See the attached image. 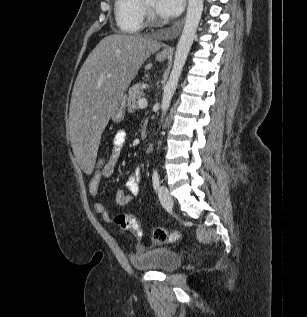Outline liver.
<instances>
[{"instance_id": "liver-1", "label": "liver", "mask_w": 307, "mask_h": 317, "mask_svg": "<svg viewBox=\"0 0 307 317\" xmlns=\"http://www.w3.org/2000/svg\"><path fill=\"white\" fill-rule=\"evenodd\" d=\"M161 44L140 35L112 34L103 38L82 65L72 92L69 133L82 175L94 170L101 135L117 102L147 58Z\"/></svg>"}]
</instances>
